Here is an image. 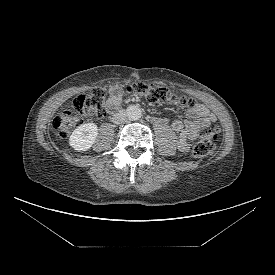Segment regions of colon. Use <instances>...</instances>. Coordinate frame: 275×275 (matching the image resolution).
Masks as SVG:
<instances>
[{
  "instance_id": "1",
  "label": "colon",
  "mask_w": 275,
  "mask_h": 275,
  "mask_svg": "<svg viewBox=\"0 0 275 275\" xmlns=\"http://www.w3.org/2000/svg\"><path fill=\"white\" fill-rule=\"evenodd\" d=\"M126 92L133 98H143L151 104L178 103L189 108L196 105L192 98L177 96L170 89L145 83H134L127 87ZM106 91L103 88L93 89L88 94L74 98V112L65 110L58 113L52 122L53 128L61 138L69 134L83 123L84 117H102L106 113ZM219 135L216 128L203 125L199 130V138L193 153L202 158L210 155L215 149V141Z\"/></svg>"
}]
</instances>
